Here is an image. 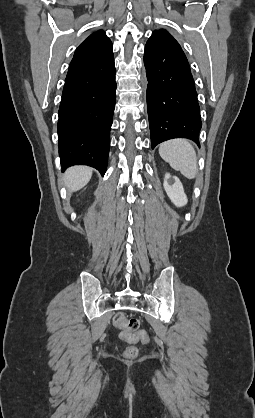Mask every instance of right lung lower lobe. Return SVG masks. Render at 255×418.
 <instances>
[{
	"label": "right lung lower lobe",
	"mask_w": 255,
	"mask_h": 418,
	"mask_svg": "<svg viewBox=\"0 0 255 418\" xmlns=\"http://www.w3.org/2000/svg\"><path fill=\"white\" fill-rule=\"evenodd\" d=\"M114 57L69 68L59 108V155L63 169L88 165L104 175L116 101Z\"/></svg>",
	"instance_id": "right-lung-lower-lobe-1"
}]
</instances>
